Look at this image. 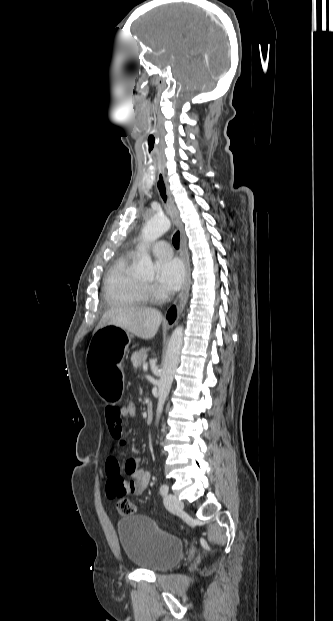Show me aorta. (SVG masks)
I'll list each match as a JSON object with an SVG mask.
<instances>
[{
    "label": "aorta",
    "instance_id": "1",
    "mask_svg": "<svg viewBox=\"0 0 333 621\" xmlns=\"http://www.w3.org/2000/svg\"><path fill=\"white\" fill-rule=\"evenodd\" d=\"M171 226L170 220L165 215H155L149 219L142 229L141 237L143 242L151 243L161 237L169 230ZM136 274L143 278L154 277V264L150 255L143 252L136 268ZM183 344V327L178 326L173 331L169 340L166 357L161 370L160 379L158 381V404L156 410V423L158 424L163 411L165 401L170 392L175 371L177 369L180 357V351Z\"/></svg>",
    "mask_w": 333,
    "mask_h": 621
}]
</instances>
